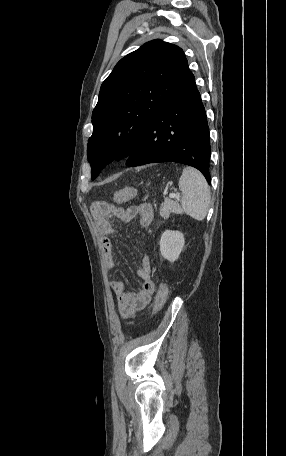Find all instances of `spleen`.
Masks as SVG:
<instances>
[{
  "label": "spleen",
  "mask_w": 286,
  "mask_h": 456,
  "mask_svg": "<svg viewBox=\"0 0 286 456\" xmlns=\"http://www.w3.org/2000/svg\"><path fill=\"white\" fill-rule=\"evenodd\" d=\"M181 205L190 217L202 221L210 205V189L205 177L196 169L186 167L179 179Z\"/></svg>",
  "instance_id": "spleen-1"
}]
</instances>
